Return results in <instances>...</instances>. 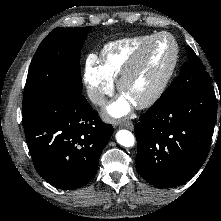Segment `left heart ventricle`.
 <instances>
[{"mask_svg": "<svg viewBox=\"0 0 221 221\" xmlns=\"http://www.w3.org/2000/svg\"><path fill=\"white\" fill-rule=\"evenodd\" d=\"M173 55V46L169 38L157 40L148 50L143 67L125 86L123 95L136 104L157 87L168 69Z\"/></svg>", "mask_w": 221, "mask_h": 221, "instance_id": "left-heart-ventricle-1", "label": "left heart ventricle"}]
</instances>
